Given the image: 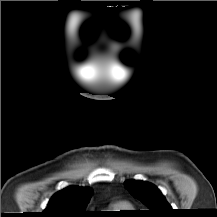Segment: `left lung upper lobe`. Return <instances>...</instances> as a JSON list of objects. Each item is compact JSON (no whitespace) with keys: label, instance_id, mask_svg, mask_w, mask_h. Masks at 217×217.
<instances>
[{"label":"left lung upper lobe","instance_id":"left-lung-upper-lobe-1","mask_svg":"<svg viewBox=\"0 0 217 217\" xmlns=\"http://www.w3.org/2000/svg\"><path fill=\"white\" fill-rule=\"evenodd\" d=\"M127 190L145 206L149 217H169L174 210L166 201L161 191L152 183L128 180L124 183Z\"/></svg>","mask_w":217,"mask_h":217}]
</instances>
